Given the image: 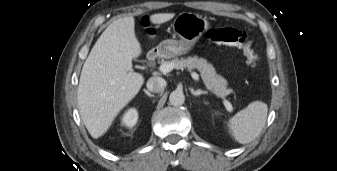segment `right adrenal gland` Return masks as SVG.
Returning a JSON list of instances; mask_svg holds the SVG:
<instances>
[{"label":"right adrenal gland","mask_w":337,"mask_h":171,"mask_svg":"<svg viewBox=\"0 0 337 171\" xmlns=\"http://www.w3.org/2000/svg\"><path fill=\"white\" fill-rule=\"evenodd\" d=\"M149 97H154L153 94H151L148 90L144 89L143 90Z\"/></svg>","instance_id":"1"}]
</instances>
